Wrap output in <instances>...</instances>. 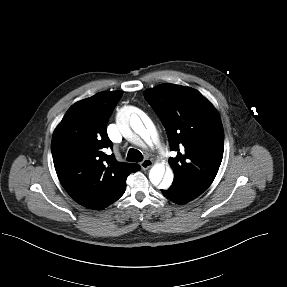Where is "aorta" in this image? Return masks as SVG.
<instances>
[{
	"label": "aorta",
	"mask_w": 287,
	"mask_h": 287,
	"mask_svg": "<svg viewBox=\"0 0 287 287\" xmlns=\"http://www.w3.org/2000/svg\"><path fill=\"white\" fill-rule=\"evenodd\" d=\"M128 121L133 131L144 141H149L150 135L156 137V128L148 116H143L141 120L138 115H130L127 110H123L118 116V124L121 128L125 129ZM173 178L172 170L167 168L165 171L163 164H155L149 172L151 183L155 186H159L161 189L169 188L173 182Z\"/></svg>",
	"instance_id": "1"
}]
</instances>
